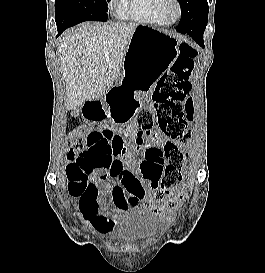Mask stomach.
Segmentation results:
<instances>
[{
    "mask_svg": "<svg viewBox=\"0 0 265 273\" xmlns=\"http://www.w3.org/2000/svg\"><path fill=\"white\" fill-rule=\"evenodd\" d=\"M177 50L178 42L170 34L149 25L138 26L124 57L121 79L114 89L147 95L153 82L173 62Z\"/></svg>",
    "mask_w": 265,
    "mask_h": 273,
    "instance_id": "0dacf381",
    "label": "stomach"
}]
</instances>
